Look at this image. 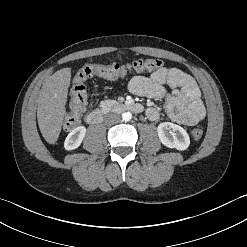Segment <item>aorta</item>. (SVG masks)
<instances>
[{"label": "aorta", "mask_w": 247, "mask_h": 247, "mask_svg": "<svg viewBox=\"0 0 247 247\" xmlns=\"http://www.w3.org/2000/svg\"><path fill=\"white\" fill-rule=\"evenodd\" d=\"M132 118V114L130 112L122 113V120L123 121H130Z\"/></svg>", "instance_id": "aorta-1"}]
</instances>
